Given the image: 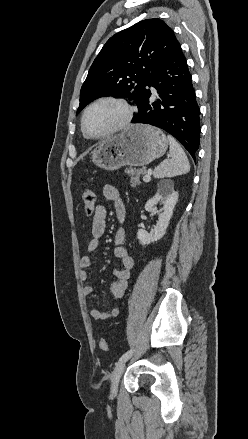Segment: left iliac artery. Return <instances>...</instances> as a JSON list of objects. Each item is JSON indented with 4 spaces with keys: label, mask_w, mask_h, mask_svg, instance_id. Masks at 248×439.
Here are the masks:
<instances>
[{
    "label": "left iliac artery",
    "mask_w": 248,
    "mask_h": 439,
    "mask_svg": "<svg viewBox=\"0 0 248 439\" xmlns=\"http://www.w3.org/2000/svg\"><path fill=\"white\" fill-rule=\"evenodd\" d=\"M132 354H133V350L132 349L128 350L120 357L119 362L128 360L132 356Z\"/></svg>",
    "instance_id": "1"
}]
</instances>
